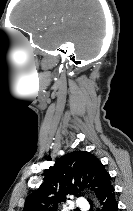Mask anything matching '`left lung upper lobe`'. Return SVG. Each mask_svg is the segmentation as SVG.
Masks as SVG:
<instances>
[{"label":"left lung upper lobe","instance_id":"obj_1","mask_svg":"<svg viewBox=\"0 0 133 211\" xmlns=\"http://www.w3.org/2000/svg\"><path fill=\"white\" fill-rule=\"evenodd\" d=\"M45 177L41 186L26 198L23 211H57L58 203L68 194L80 196L81 189L91 188L99 198L112 186L104 165L87 151H75L58 158L55 165L46 170Z\"/></svg>","mask_w":133,"mask_h":211}]
</instances>
